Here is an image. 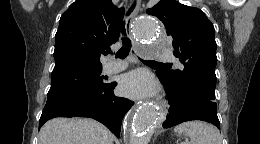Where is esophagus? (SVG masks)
<instances>
[{"mask_svg": "<svg viewBox=\"0 0 260 144\" xmlns=\"http://www.w3.org/2000/svg\"><path fill=\"white\" fill-rule=\"evenodd\" d=\"M137 1V5L136 8L134 10V12L128 16L127 20H126V34L130 35V27L132 24V21L134 20L135 16L137 15L139 9H140V5H141V0H136Z\"/></svg>", "mask_w": 260, "mask_h": 144, "instance_id": "34e87169", "label": "esophagus"}]
</instances>
